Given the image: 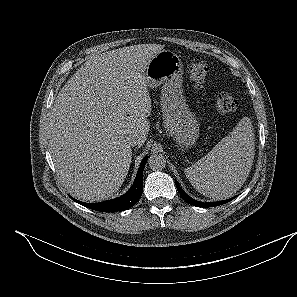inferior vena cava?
I'll use <instances>...</instances> for the list:
<instances>
[{
	"mask_svg": "<svg viewBox=\"0 0 297 297\" xmlns=\"http://www.w3.org/2000/svg\"><path fill=\"white\" fill-rule=\"evenodd\" d=\"M127 144L128 146L130 147H134L136 145L139 144V139L136 135H130L128 138H127Z\"/></svg>",
	"mask_w": 297,
	"mask_h": 297,
	"instance_id": "obj_1",
	"label": "inferior vena cava"
}]
</instances>
